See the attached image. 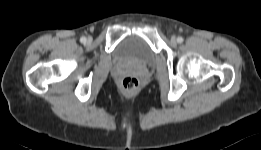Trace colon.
Returning <instances> with one entry per match:
<instances>
[{"instance_id": "5ec220e1", "label": "colon", "mask_w": 261, "mask_h": 150, "mask_svg": "<svg viewBox=\"0 0 261 150\" xmlns=\"http://www.w3.org/2000/svg\"><path fill=\"white\" fill-rule=\"evenodd\" d=\"M140 82L134 76H126L121 81V90L126 96H133L138 93Z\"/></svg>"}]
</instances>
